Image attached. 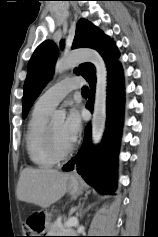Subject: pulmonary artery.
<instances>
[{
	"mask_svg": "<svg viewBox=\"0 0 158 237\" xmlns=\"http://www.w3.org/2000/svg\"><path fill=\"white\" fill-rule=\"evenodd\" d=\"M83 85L82 78L72 77L62 79L48 88L36 101L40 107L53 110L70 91Z\"/></svg>",
	"mask_w": 158,
	"mask_h": 237,
	"instance_id": "1",
	"label": "pulmonary artery"
}]
</instances>
